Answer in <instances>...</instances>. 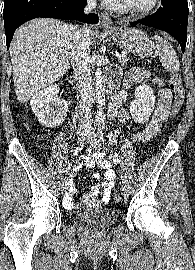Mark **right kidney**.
<instances>
[{
	"label": "right kidney",
	"mask_w": 195,
	"mask_h": 270,
	"mask_svg": "<svg viewBox=\"0 0 195 270\" xmlns=\"http://www.w3.org/2000/svg\"><path fill=\"white\" fill-rule=\"evenodd\" d=\"M59 91L58 84L50 85L36 93L30 101L33 113L45 127H56L67 116L68 103L58 97Z\"/></svg>",
	"instance_id": "right-kidney-1"
}]
</instances>
